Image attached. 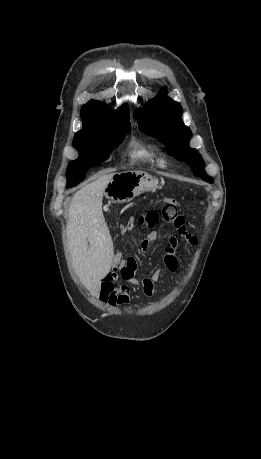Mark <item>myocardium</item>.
Listing matches in <instances>:
<instances>
[{
  "mask_svg": "<svg viewBox=\"0 0 261 459\" xmlns=\"http://www.w3.org/2000/svg\"><path fill=\"white\" fill-rule=\"evenodd\" d=\"M168 165V160L165 156H160L159 157V166L162 168H166Z\"/></svg>",
  "mask_w": 261,
  "mask_h": 459,
  "instance_id": "1",
  "label": "myocardium"
}]
</instances>
